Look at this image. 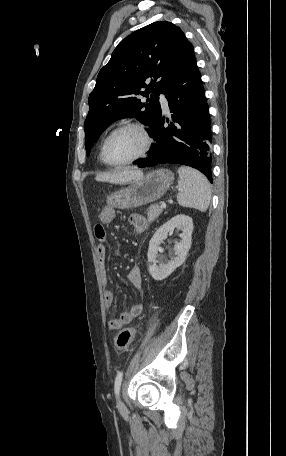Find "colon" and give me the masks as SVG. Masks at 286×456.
<instances>
[{
	"label": "colon",
	"mask_w": 286,
	"mask_h": 456,
	"mask_svg": "<svg viewBox=\"0 0 286 456\" xmlns=\"http://www.w3.org/2000/svg\"><path fill=\"white\" fill-rule=\"evenodd\" d=\"M135 333H136V330L134 328H126V329L122 330L115 339L116 348L119 350L127 349L129 347V345L131 344V342L135 336Z\"/></svg>",
	"instance_id": "1"
}]
</instances>
